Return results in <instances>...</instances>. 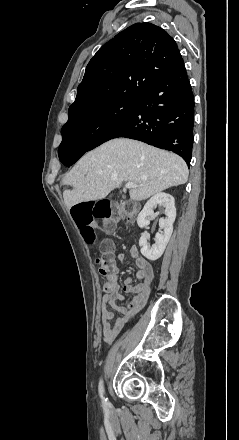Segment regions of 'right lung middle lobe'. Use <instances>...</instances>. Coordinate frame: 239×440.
I'll use <instances>...</instances> for the list:
<instances>
[{"label": "right lung middle lobe", "instance_id": "right-lung-middle-lobe-1", "mask_svg": "<svg viewBox=\"0 0 239 440\" xmlns=\"http://www.w3.org/2000/svg\"><path fill=\"white\" fill-rule=\"evenodd\" d=\"M137 99L115 97L95 108L69 117L61 131L63 140L59 152L67 147L86 149L103 131L125 118Z\"/></svg>", "mask_w": 239, "mask_h": 440}]
</instances>
